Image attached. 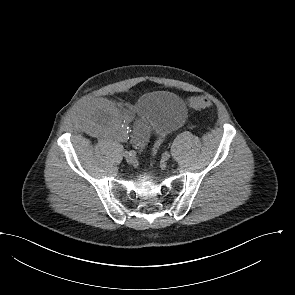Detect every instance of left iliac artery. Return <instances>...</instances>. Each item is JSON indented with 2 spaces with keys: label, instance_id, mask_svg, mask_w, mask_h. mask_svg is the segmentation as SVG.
Listing matches in <instances>:
<instances>
[{
  "label": "left iliac artery",
  "instance_id": "1",
  "mask_svg": "<svg viewBox=\"0 0 295 295\" xmlns=\"http://www.w3.org/2000/svg\"><path fill=\"white\" fill-rule=\"evenodd\" d=\"M163 156H168V157H170V155H169L168 152H165V153L163 154Z\"/></svg>",
  "mask_w": 295,
  "mask_h": 295
}]
</instances>
